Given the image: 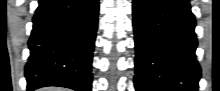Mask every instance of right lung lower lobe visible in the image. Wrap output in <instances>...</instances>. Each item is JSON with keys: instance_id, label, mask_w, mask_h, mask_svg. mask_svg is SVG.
Here are the masks:
<instances>
[{"instance_id": "obj_1", "label": "right lung lower lobe", "mask_w": 220, "mask_h": 91, "mask_svg": "<svg viewBox=\"0 0 220 91\" xmlns=\"http://www.w3.org/2000/svg\"><path fill=\"white\" fill-rule=\"evenodd\" d=\"M98 12V0H39L28 41V91L45 86L91 91Z\"/></svg>"}]
</instances>
